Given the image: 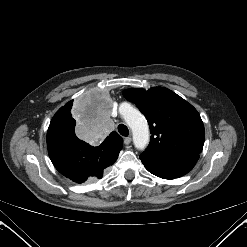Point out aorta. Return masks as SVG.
<instances>
[{"instance_id": "1", "label": "aorta", "mask_w": 247, "mask_h": 247, "mask_svg": "<svg viewBox=\"0 0 247 247\" xmlns=\"http://www.w3.org/2000/svg\"><path fill=\"white\" fill-rule=\"evenodd\" d=\"M119 111L132 130L134 146L139 150H144L149 143L147 120L139 110L127 103H123L119 107Z\"/></svg>"}]
</instances>
